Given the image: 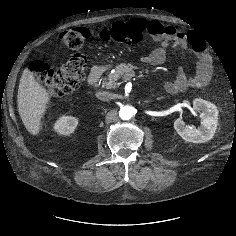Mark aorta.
Masks as SVG:
<instances>
[{
	"label": "aorta",
	"instance_id": "1",
	"mask_svg": "<svg viewBox=\"0 0 236 236\" xmlns=\"http://www.w3.org/2000/svg\"><path fill=\"white\" fill-rule=\"evenodd\" d=\"M136 113V110L131 105H123L120 107L119 116L122 120H130Z\"/></svg>",
	"mask_w": 236,
	"mask_h": 236
}]
</instances>
